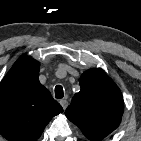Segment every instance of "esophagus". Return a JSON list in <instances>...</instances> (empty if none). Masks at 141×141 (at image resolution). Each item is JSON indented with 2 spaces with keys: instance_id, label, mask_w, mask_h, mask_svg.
<instances>
[{
  "instance_id": "34e87169",
  "label": "esophagus",
  "mask_w": 141,
  "mask_h": 141,
  "mask_svg": "<svg viewBox=\"0 0 141 141\" xmlns=\"http://www.w3.org/2000/svg\"><path fill=\"white\" fill-rule=\"evenodd\" d=\"M59 103L61 104L62 108L65 110L68 106V101L67 100H60Z\"/></svg>"
}]
</instances>
